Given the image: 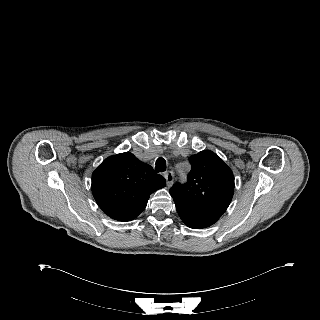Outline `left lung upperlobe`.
Instances as JSON below:
<instances>
[{
    "label": "left lung upper lobe",
    "instance_id": "1",
    "mask_svg": "<svg viewBox=\"0 0 320 320\" xmlns=\"http://www.w3.org/2000/svg\"><path fill=\"white\" fill-rule=\"evenodd\" d=\"M192 169L187 183L170 189L175 202L222 215L234 193V177L228 165L214 152L204 150L189 157Z\"/></svg>",
    "mask_w": 320,
    "mask_h": 320
}]
</instances>
